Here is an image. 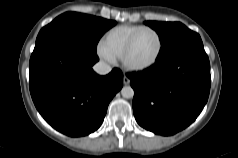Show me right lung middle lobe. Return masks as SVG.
<instances>
[{
	"label": "right lung middle lobe",
	"mask_w": 238,
	"mask_h": 158,
	"mask_svg": "<svg viewBox=\"0 0 238 158\" xmlns=\"http://www.w3.org/2000/svg\"><path fill=\"white\" fill-rule=\"evenodd\" d=\"M115 24V21L100 17L66 12L40 30L36 44L51 36H63L89 51L96 52L101 36Z\"/></svg>",
	"instance_id": "obj_1"
}]
</instances>
